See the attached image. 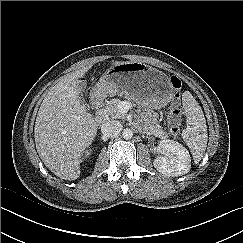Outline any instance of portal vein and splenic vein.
<instances>
[{
  "label": "portal vein and splenic vein",
  "instance_id": "obj_1",
  "mask_svg": "<svg viewBox=\"0 0 243 243\" xmlns=\"http://www.w3.org/2000/svg\"><path fill=\"white\" fill-rule=\"evenodd\" d=\"M127 104H128L127 102H123L121 105L122 106H127Z\"/></svg>",
  "mask_w": 243,
  "mask_h": 243
}]
</instances>
